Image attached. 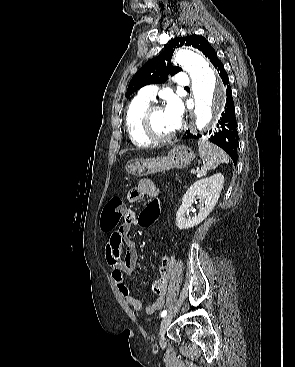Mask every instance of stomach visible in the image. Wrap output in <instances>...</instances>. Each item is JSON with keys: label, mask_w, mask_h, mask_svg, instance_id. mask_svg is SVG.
Segmentation results:
<instances>
[{"label": "stomach", "mask_w": 295, "mask_h": 367, "mask_svg": "<svg viewBox=\"0 0 295 367\" xmlns=\"http://www.w3.org/2000/svg\"><path fill=\"white\" fill-rule=\"evenodd\" d=\"M194 157L195 155L190 148L177 145L165 157L138 159L127 164L126 170L129 174L141 177L174 168L183 169L193 161Z\"/></svg>", "instance_id": "stomach-1"}]
</instances>
